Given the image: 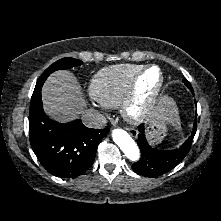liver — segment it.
<instances>
[{
	"label": "liver",
	"instance_id": "1",
	"mask_svg": "<svg viewBox=\"0 0 221 221\" xmlns=\"http://www.w3.org/2000/svg\"><path fill=\"white\" fill-rule=\"evenodd\" d=\"M42 101L45 112L62 122L78 117L85 107L79 82L68 70L56 71L47 78L42 87ZM160 111L169 123L179 124L178 109L172 99Z\"/></svg>",
	"mask_w": 221,
	"mask_h": 221
}]
</instances>
